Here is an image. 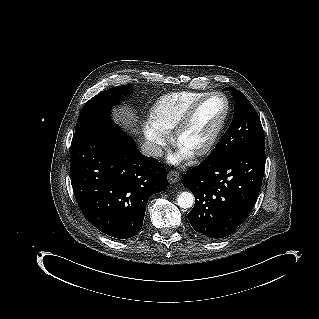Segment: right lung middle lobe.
<instances>
[{
    "mask_svg": "<svg viewBox=\"0 0 319 319\" xmlns=\"http://www.w3.org/2000/svg\"><path fill=\"white\" fill-rule=\"evenodd\" d=\"M132 91V86L123 85L101 91L83 106L77 120L75 132L110 120L111 106Z\"/></svg>",
    "mask_w": 319,
    "mask_h": 319,
    "instance_id": "obj_1",
    "label": "right lung middle lobe"
}]
</instances>
